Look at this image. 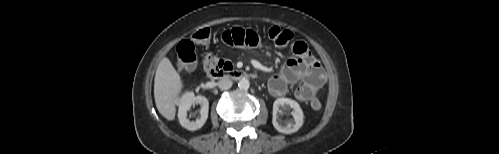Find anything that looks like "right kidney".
<instances>
[{"mask_svg": "<svg viewBox=\"0 0 499 154\" xmlns=\"http://www.w3.org/2000/svg\"><path fill=\"white\" fill-rule=\"evenodd\" d=\"M200 104V119L190 121L187 118V112L190 111L192 105ZM209 102L204 96H195L193 92H186L179 100L178 118L180 124L188 130L200 129L208 118Z\"/></svg>", "mask_w": 499, "mask_h": 154, "instance_id": "obj_1", "label": "right kidney"}]
</instances>
